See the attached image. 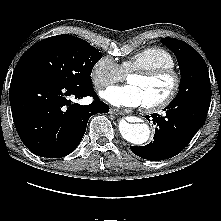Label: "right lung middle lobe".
Instances as JSON below:
<instances>
[{
	"label": "right lung middle lobe",
	"instance_id": "1",
	"mask_svg": "<svg viewBox=\"0 0 221 221\" xmlns=\"http://www.w3.org/2000/svg\"><path fill=\"white\" fill-rule=\"evenodd\" d=\"M102 54L81 38L62 34L31 46L17 66H25L72 87L91 88V72Z\"/></svg>",
	"mask_w": 221,
	"mask_h": 221
}]
</instances>
